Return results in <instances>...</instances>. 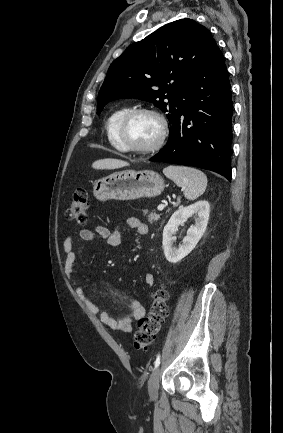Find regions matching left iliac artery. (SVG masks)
<instances>
[{
    "mask_svg": "<svg viewBox=\"0 0 283 433\" xmlns=\"http://www.w3.org/2000/svg\"><path fill=\"white\" fill-rule=\"evenodd\" d=\"M159 364H160V355L157 356V358H156V360L154 362L155 368H157L159 366Z\"/></svg>",
    "mask_w": 283,
    "mask_h": 433,
    "instance_id": "obj_1",
    "label": "left iliac artery"
}]
</instances>
